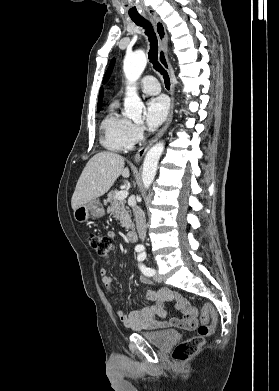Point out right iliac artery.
Instances as JSON below:
<instances>
[{"label": "right iliac artery", "mask_w": 279, "mask_h": 391, "mask_svg": "<svg viewBox=\"0 0 279 391\" xmlns=\"http://www.w3.org/2000/svg\"><path fill=\"white\" fill-rule=\"evenodd\" d=\"M142 249L141 248H136V251L137 252H140Z\"/></svg>", "instance_id": "82829eb1"}]
</instances>
